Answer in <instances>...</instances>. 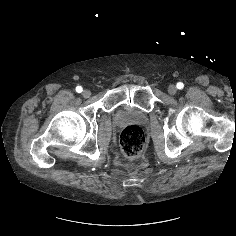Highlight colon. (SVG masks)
<instances>
[{"label":"colon","mask_w":236,"mask_h":236,"mask_svg":"<svg viewBox=\"0 0 236 236\" xmlns=\"http://www.w3.org/2000/svg\"><path fill=\"white\" fill-rule=\"evenodd\" d=\"M146 138L143 129L138 125H129L120 135V146L128 158L139 156L145 148Z\"/></svg>","instance_id":"1"}]
</instances>
